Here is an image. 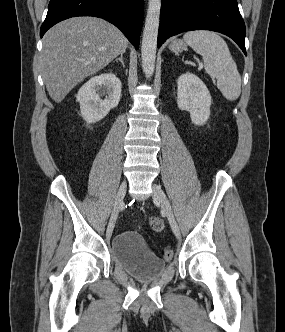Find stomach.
Wrapping results in <instances>:
<instances>
[{"instance_id":"0dacf381","label":"stomach","mask_w":285,"mask_h":332,"mask_svg":"<svg viewBox=\"0 0 285 332\" xmlns=\"http://www.w3.org/2000/svg\"><path fill=\"white\" fill-rule=\"evenodd\" d=\"M186 48V44L180 40V39H175L171 42L169 45V49L173 52H181Z\"/></svg>"}]
</instances>
